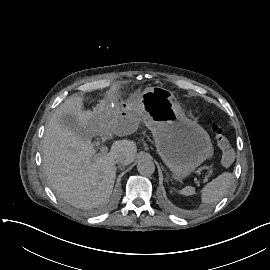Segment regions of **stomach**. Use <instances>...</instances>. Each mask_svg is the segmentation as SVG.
<instances>
[{"label": "stomach", "mask_w": 270, "mask_h": 270, "mask_svg": "<svg viewBox=\"0 0 270 270\" xmlns=\"http://www.w3.org/2000/svg\"><path fill=\"white\" fill-rule=\"evenodd\" d=\"M143 114L142 120L152 132L158 154L181 181L213 155L209 134L185 115L173 93L159 86L146 87L138 99L117 107L118 116Z\"/></svg>", "instance_id": "stomach-1"}]
</instances>
